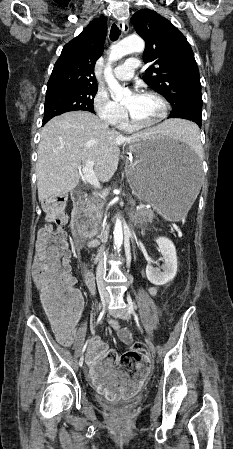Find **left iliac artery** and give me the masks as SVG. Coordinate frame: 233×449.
I'll list each match as a JSON object with an SVG mask.
<instances>
[{
	"mask_svg": "<svg viewBox=\"0 0 233 449\" xmlns=\"http://www.w3.org/2000/svg\"><path fill=\"white\" fill-rule=\"evenodd\" d=\"M127 300H128L129 306H130L129 307L130 312L133 314L134 319L137 322V324H139L140 323V319H139L138 315L136 314V312L134 310V302L132 301L130 295H128Z\"/></svg>",
	"mask_w": 233,
	"mask_h": 449,
	"instance_id": "left-iliac-artery-1",
	"label": "left iliac artery"
}]
</instances>
